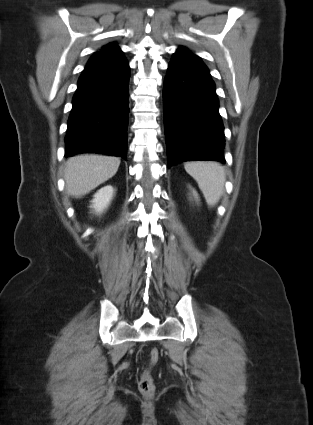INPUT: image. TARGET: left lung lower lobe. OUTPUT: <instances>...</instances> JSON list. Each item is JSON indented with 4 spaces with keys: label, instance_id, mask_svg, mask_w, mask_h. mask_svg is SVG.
<instances>
[{
    "label": "left lung lower lobe",
    "instance_id": "obj_1",
    "mask_svg": "<svg viewBox=\"0 0 313 425\" xmlns=\"http://www.w3.org/2000/svg\"><path fill=\"white\" fill-rule=\"evenodd\" d=\"M215 89L201 60L174 54L163 89L168 167L185 161L225 162L224 127Z\"/></svg>",
    "mask_w": 313,
    "mask_h": 425
}]
</instances>
